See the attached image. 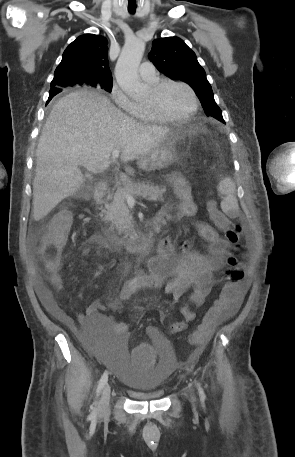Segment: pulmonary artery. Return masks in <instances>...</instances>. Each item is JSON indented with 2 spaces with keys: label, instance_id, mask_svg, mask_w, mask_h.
Instances as JSON below:
<instances>
[{
  "label": "pulmonary artery",
  "instance_id": "pulmonary-artery-1",
  "mask_svg": "<svg viewBox=\"0 0 295 457\" xmlns=\"http://www.w3.org/2000/svg\"><path fill=\"white\" fill-rule=\"evenodd\" d=\"M140 77L147 82H155L157 80V73L154 65L151 62H143L139 67Z\"/></svg>",
  "mask_w": 295,
  "mask_h": 457
}]
</instances>
